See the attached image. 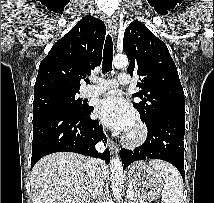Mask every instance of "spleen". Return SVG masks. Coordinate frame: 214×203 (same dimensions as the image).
<instances>
[{
	"label": "spleen",
	"mask_w": 214,
	"mask_h": 203,
	"mask_svg": "<svg viewBox=\"0 0 214 203\" xmlns=\"http://www.w3.org/2000/svg\"><path fill=\"white\" fill-rule=\"evenodd\" d=\"M149 165L164 177L162 203H183V185L179 172L172 165L160 160L149 161Z\"/></svg>",
	"instance_id": "3e777b00"
}]
</instances>
